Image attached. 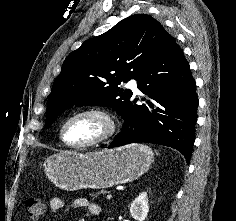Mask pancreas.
Instances as JSON below:
<instances>
[{
	"label": "pancreas",
	"mask_w": 236,
	"mask_h": 221,
	"mask_svg": "<svg viewBox=\"0 0 236 221\" xmlns=\"http://www.w3.org/2000/svg\"><path fill=\"white\" fill-rule=\"evenodd\" d=\"M101 193H105V192L102 191V192H99L98 194H101Z\"/></svg>",
	"instance_id": "1"
}]
</instances>
